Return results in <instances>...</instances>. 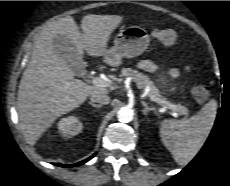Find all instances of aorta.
I'll list each match as a JSON object with an SVG mask.
<instances>
[{
	"label": "aorta",
	"mask_w": 230,
	"mask_h": 186,
	"mask_svg": "<svg viewBox=\"0 0 230 186\" xmlns=\"http://www.w3.org/2000/svg\"><path fill=\"white\" fill-rule=\"evenodd\" d=\"M118 120L123 123H128L133 119V110L129 107H122L117 113Z\"/></svg>",
	"instance_id": "1"
}]
</instances>
